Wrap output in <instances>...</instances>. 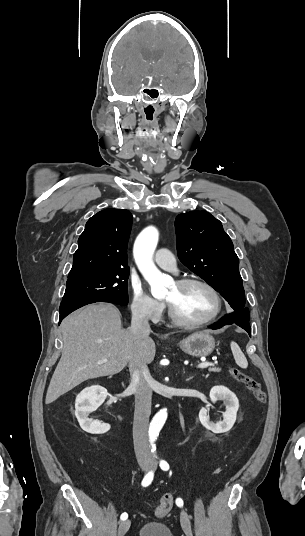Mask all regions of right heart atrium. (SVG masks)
<instances>
[{
  "label": "right heart atrium",
  "instance_id": "1",
  "mask_svg": "<svg viewBox=\"0 0 305 536\" xmlns=\"http://www.w3.org/2000/svg\"><path fill=\"white\" fill-rule=\"evenodd\" d=\"M130 309L132 314L140 319H157L163 311L162 303L153 299L138 282L130 286Z\"/></svg>",
  "mask_w": 305,
  "mask_h": 536
}]
</instances>
